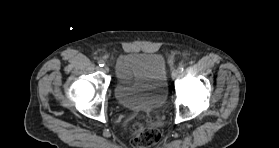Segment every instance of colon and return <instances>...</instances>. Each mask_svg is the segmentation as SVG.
Segmentation results:
<instances>
[{
  "instance_id": "1",
  "label": "colon",
  "mask_w": 279,
  "mask_h": 148,
  "mask_svg": "<svg viewBox=\"0 0 279 148\" xmlns=\"http://www.w3.org/2000/svg\"><path fill=\"white\" fill-rule=\"evenodd\" d=\"M174 60L175 56L172 55L171 61ZM125 127L136 148H149L156 144L161 138L158 126L154 122L148 120V115L133 113L126 120Z\"/></svg>"
}]
</instances>
